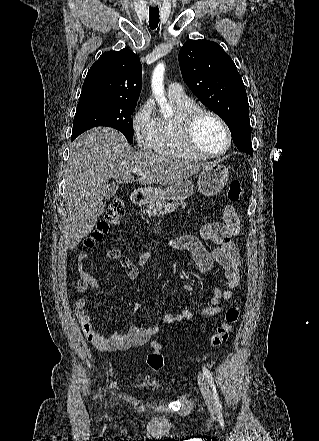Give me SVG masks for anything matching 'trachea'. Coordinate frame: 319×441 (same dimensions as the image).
<instances>
[{"mask_svg": "<svg viewBox=\"0 0 319 441\" xmlns=\"http://www.w3.org/2000/svg\"><path fill=\"white\" fill-rule=\"evenodd\" d=\"M159 24V9L158 7L149 8V26L152 30L156 29Z\"/></svg>", "mask_w": 319, "mask_h": 441, "instance_id": "obj_1", "label": "trachea"}]
</instances>
